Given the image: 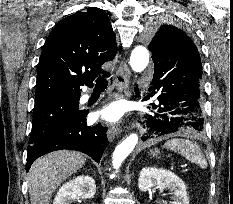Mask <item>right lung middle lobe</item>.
Masks as SVG:
<instances>
[{"mask_svg":"<svg viewBox=\"0 0 233 204\" xmlns=\"http://www.w3.org/2000/svg\"><path fill=\"white\" fill-rule=\"evenodd\" d=\"M79 96H55L35 102L30 145L51 134L79 113Z\"/></svg>","mask_w":233,"mask_h":204,"instance_id":"obj_1","label":"right lung middle lobe"}]
</instances>
